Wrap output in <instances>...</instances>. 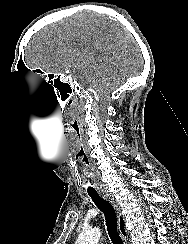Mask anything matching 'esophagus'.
Returning <instances> with one entry per match:
<instances>
[{"mask_svg":"<svg viewBox=\"0 0 188 244\" xmlns=\"http://www.w3.org/2000/svg\"><path fill=\"white\" fill-rule=\"evenodd\" d=\"M102 195L104 198L109 200L111 202V204L114 206V208L116 209L117 218H118V231H119L120 237L123 240V244H127L128 233H127V229H126V220H125L124 215L121 212L118 202L116 201L114 196L111 193H109L108 191L103 190Z\"/></svg>","mask_w":188,"mask_h":244,"instance_id":"1","label":"esophagus"}]
</instances>
